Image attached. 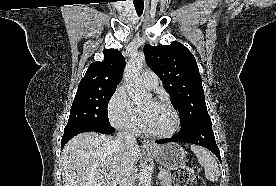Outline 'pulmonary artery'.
<instances>
[{"mask_svg":"<svg viewBox=\"0 0 276 186\" xmlns=\"http://www.w3.org/2000/svg\"><path fill=\"white\" fill-rule=\"evenodd\" d=\"M142 82L148 89H155L159 85V78L154 72L146 70L142 75Z\"/></svg>","mask_w":276,"mask_h":186,"instance_id":"obj_1","label":"pulmonary artery"}]
</instances>
